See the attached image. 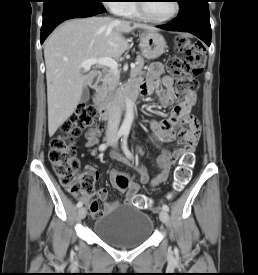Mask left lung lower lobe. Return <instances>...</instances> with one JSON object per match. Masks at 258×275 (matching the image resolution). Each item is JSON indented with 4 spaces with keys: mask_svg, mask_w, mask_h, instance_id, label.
<instances>
[{
    "mask_svg": "<svg viewBox=\"0 0 258 275\" xmlns=\"http://www.w3.org/2000/svg\"><path fill=\"white\" fill-rule=\"evenodd\" d=\"M180 13L174 22L158 26L170 31L189 32L208 46L211 44V26L208 0H182Z\"/></svg>",
    "mask_w": 258,
    "mask_h": 275,
    "instance_id": "left-lung-lower-lobe-1",
    "label": "left lung lower lobe"
}]
</instances>
